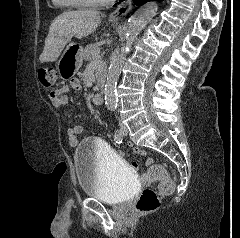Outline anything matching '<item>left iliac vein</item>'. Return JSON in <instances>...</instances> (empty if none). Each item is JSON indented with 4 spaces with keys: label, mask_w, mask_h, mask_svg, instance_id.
<instances>
[{
    "label": "left iliac vein",
    "mask_w": 240,
    "mask_h": 238,
    "mask_svg": "<svg viewBox=\"0 0 240 238\" xmlns=\"http://www.w3.org/2000/svg\"><path fill=\"white\" fill-rule=\"evenodd\" d=\"M121 131H122L123 135H127V133H128L127 127L123 124L121 125Z\"/></svg>",
    "instance_id": "1"
}]
</instances>
